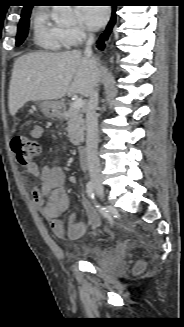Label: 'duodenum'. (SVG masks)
Wrapping results in <instances>:
<instances>
[{
	"label": "duodenum",
	"mask_w": 184,
	"mask_h": 327,
	"mask_svg": "<svg viewBox=\"0 0 184 327\" xmlns=\"http://www.w3.org/2000/svg\"><path fill=\"white\" fill-rule=\"evenodd\" d=\"M58 113L62 114L64 113V107L62 105L57 106ZM79 156H80V163L83 167H86L88 165V152L86 147L80 146L79 147Z\"/></svg>",
	"instance_id": "1"
}]
</instances>
